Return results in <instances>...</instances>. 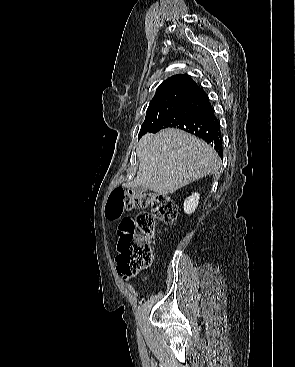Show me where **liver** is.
<instances>
[{"mask_svg":"<svg viewBox=\"0 0 295 367\" xmlns=\"http://www.w3.org/2000/svg\"><path fill=\"white\" fill-rule=\"evenodd\" d=\"M136 152L139 169L128 186L140 185L160 195L174 193L220 168L219 156L210 145L173 128L144 135Z\"/></svg>","mask_w":295,"mask_h":367,"instance_id":"6515ba94","label":"liver"}]
</instances>
